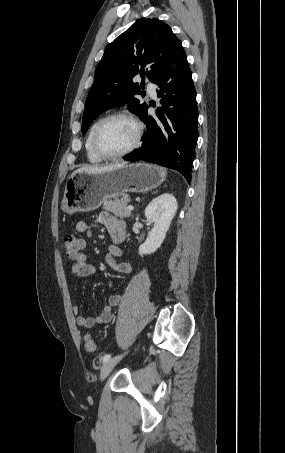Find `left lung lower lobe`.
<instances>
[{"label": "left lung lower lobe", "mask_w": 285, "mask_h": 453, "mask_svg": "<svg viewBox=\"0 0 285 453\" xmlns=\"http://www.w3.org/2000/svg\"><path fill=\"white\" fill-rule=\"evenodd\" d=\"M153 83L159 87L162 107L157 108L156 116L148 115L146 108L140 117L147 125L143 144L123 159L174 169L190 183L198 139V111L192 73L181 43L172 50Z\"/></svg>", "instance_id": "0a47b994"}]
</instances>
